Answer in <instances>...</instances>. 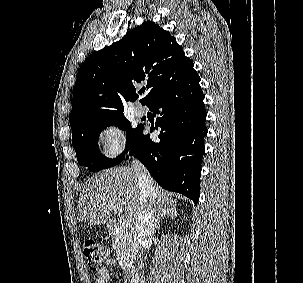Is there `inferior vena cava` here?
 Here are the masks:
<instances>
[{
  "label": "inferior vena cava",
  "mask_w": 303,
  "mask_h": 283,
  "mask_svg": "<svg viewBox=\"0 0 303 283\" xmlns=\"http://www.w3.org/2000/svg\"><path fill=\"white\" fill-rule=\"evenodd\" d=\"M131 168L137 172L139 187L138 219L135 225L134 244L136 246L138 265L146 259V248L154 234L156 212L154 205L153 180L145 167L137 159L132 160Z\"/></svg>",
  "instance_id": "obj_1"
}]
</instances>
